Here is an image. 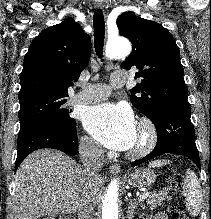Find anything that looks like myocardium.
Here are the masks:
<instances>
[{"label": "myocardium", "instance_id": "f54148a6", "mask_svg": "<svg viewBox=\"0 0 211 219\" xmlns=\"http://www.w3.org/2000/svg\"><path fill=\"white\" fill-rule=\"evenodd\" d=\"M139 134V143L128 153V156L133 159L148 155L155 148L158 141L157 128L154 123L147 118L141 119L139 123Z\"/></svg>", "mask_w": 211, "mask_h": 219}]
</instances>
